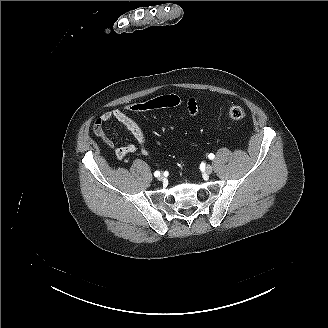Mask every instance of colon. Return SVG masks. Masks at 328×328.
Here are the masks:
<instances>
[{
  "mask_svg": "<svg viewBox=\"0 0 328 328\" xmlns=\"http://www.w3.org/2000/svg\"><path fill=\"white\" fill-rule=\"evenodd\" d=\"M180 104V99L177 95L169 94L158 96L143 102H138L130 105L127 109L131 113H143L146 111H151L166 107H176ZM228 115L233 120H241L245 117L246 113L244 109L237 105H231L228 108ZM94 132L100 137H104V133L99 120L95 122Z\"/></svg>",
  "mask_w": 328,
  "mask_h": 328,
  "instance_id": "obj_1",
  "label": "colon"
}]
</instances>
